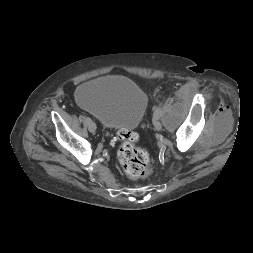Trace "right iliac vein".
<instances>
[{"mask_svg":"<svg viewBox=\"0 0 253 253\" xmlns=\"http://www.w3.org/2000/svg\"><path fill=\"white\" fill-rule=\"evenodd\" d=\"M96 124L93 122V121H90L89 123H88V129H89V131H91V132H95L96 131Z\"/></svg>","mask_w":253,"mask_h":253,"instance_id":"63e3f726","label":"right iliac vein"}]
</instances>
